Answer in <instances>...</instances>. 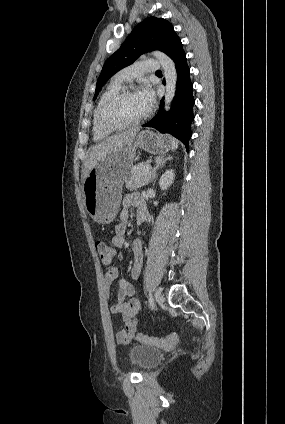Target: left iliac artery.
Wrapping results in <instances>:
<instances>
[{"mask_svg": "<svg viewBox=\"0 0 285 424\" xmlns=\"http://www.w3.org/2000/svg\"><path fill=\"white\" fill-rule=\"evenodd\" d=\"M149 303H150L151 307L153 308V306H154V301H153V298H152L151 291L149 292Z\"/></svg>", "mask_w": 285, "mask_h": 424, "instance_id": "left-iliac-artery-1", "label": "left iliac artery"}]
</instances>
